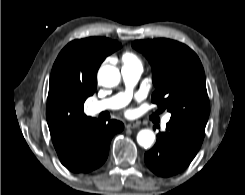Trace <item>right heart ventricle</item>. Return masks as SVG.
<instances>
[{
    "instance_id": "1",
    "label": "right heart ventricle",
    "mask_w": 245,
    "mask_h": 195,
    "mask_svg": "<svg viewBox=\"0 0 245 195\" xmlns=\"http://www.w3.org/2000/svg\"><path fill=\"white\" fill-rule=\"evenodd\" d=\"M123 63H140L139 59L133 53H125L122 57Z\"/></svg>"
}]
</instances>
